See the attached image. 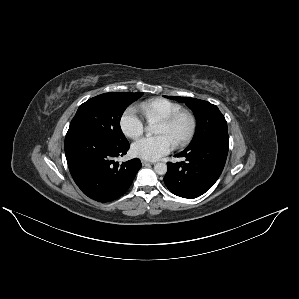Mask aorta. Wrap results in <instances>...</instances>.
Returning a JSON list of instances; mask_svg holds the SVG:
<instances>
[{
    "label": "aorta",
    "instance_id": "obj_1",
    "mask_svg": "<svg viewBox=\"0 0 299 299\" xmlns=\"http://www.w3.org/2000/svg\"><path fill=\"white\" fill-rule=\"evenodd\" d=\"M148 131L152 133L154 132L152 128H148ZM154 170L159 175H165L167 172V165L165 163L158 162L154 165Z\"/></svg>",
    "mask_w": 299,
    "mask_h": 299
}]
</instances>
